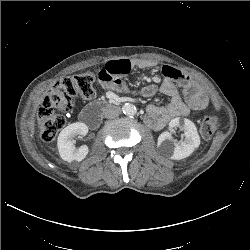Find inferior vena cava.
Returning a JSON list of instances; mask_svg holds the SVG:
<instances>
[{"label":"inferior vena cava","instance_id":"obj_1","mask_svg":"<svg viewBox=\"0 0 250 250\" xmlns=\"http://www.w3.org/2000/svg\"><path fill=\"white\" fill-rule=\"evenodd\" d=\"M120 112L121 110L118 107H111L105 111L104 116L105 118H115L120 114Z\"/></svg>","mask_w":250,"mask_h":250}]
</instances>
